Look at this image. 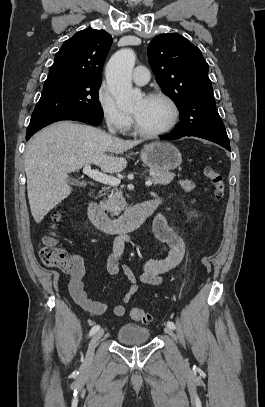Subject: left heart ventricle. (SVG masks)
Here are the masks:
<instances>
[{
	"mask_svg": "<svg viewBox=\"0 0 265 407\" xmlns=\"http://www.w3.org/2000/svg\"><path fill=\"white\" fill-rule=\"evenodd\" d=\"M131 114L138 126L146 131H156L164 128L171 120L169 105L159 99L140 98L133 106Z\"/></svg>",
	"mask_w": 265,
	"mask_h": 407,
	"instance_id": "b2bd125f",
	"label": "left heart ventricle"
}]
</instances>
